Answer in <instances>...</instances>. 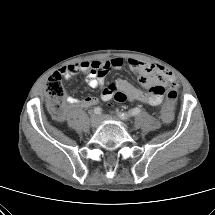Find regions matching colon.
<instances>
[{
    "label": "colon",
    "instance_id": "5ec220e1",
    "mask_svg": "<svg viewBox=\"0 0 215 215\" xmlns=\"http://www.w3.org/2000/svg\"><path fill=\"white\" fill-rule=\"evenodd\" d=\"M156 92H165L158 87L155 88ZM46 93L48 97V105L52 114L56 117H61L64 111V98H65V88L63 86L61 76L57 73L53 74L47 84ZM177 98V92L174 88H169L166 92L165 102L163 104L162 110L158 116V121L162 125H169L173 121L172 108Z\"/></svg>",
    "mask_w": 215,
    "mask_h": 215
}]
</instances>
